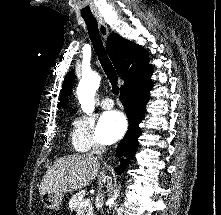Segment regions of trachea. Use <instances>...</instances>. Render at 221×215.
I'll list each match as a JSON object with an SVG mask.
<instances>
[{"mask_svg":"<svg viewBox=\"0 0 221 215\" xmlns=\"http://www.w3.org/2000/svg\"><path fill=\"white\" fill-rule=\"evenodd\" d=\"M84 21L87 25V30H88L93 48L98 56V59L101 63V66L105 74L107 75L108 79L111 82L112 92L113 94L117 95L119 94V87L117 85L118 76L104 49L103 42L99 34L97 21L96 19H86V18H84Z\"/></svg>","mask_w":221,"mask_h":215,"instance_id":"3493384b","label":"trachea"}]
</instances>
